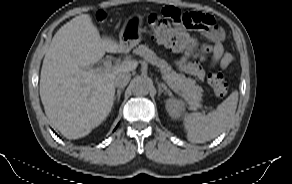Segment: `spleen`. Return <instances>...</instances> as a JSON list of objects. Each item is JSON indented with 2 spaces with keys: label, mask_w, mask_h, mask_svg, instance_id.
Segmentation results:
<instances>
[{
  "label": "spleen",
  "mask_w": 292,
  "mask_h": 184,
  "mask_svg": "<svg viewBox=\"0 0 292 184\" xmlns=\"http://www.w3.org/2000/svg\"><path fill=\"white\" fill-rule=\"evenodd\" d=\"M238 103V91L232 92L217 109L207 115L200 112L185 113L183 126L187 139L193 143H204L217 137L234 116Z\"/></svg>",
  "instance_id": "obj_1"
}]
</instances>
